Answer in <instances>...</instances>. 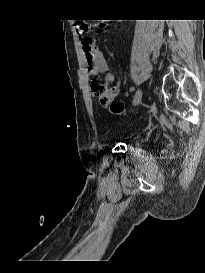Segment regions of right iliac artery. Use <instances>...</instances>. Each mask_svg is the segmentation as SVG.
<instances>
[{"mask_svg":"<svg viewBox=\"0 0 205 273\" xmlns=\"http://www.w3.org/2000/svg\"><path fill=\"white\" fill-rule=\"evenodd\" d=\"M130 90H131V91H133V90H134V88H131Z\"/></svg>","mask_w":205,"mask_h":273,"instance_id":"82829eb1","label":"right iliac artery"}]
</instances>
